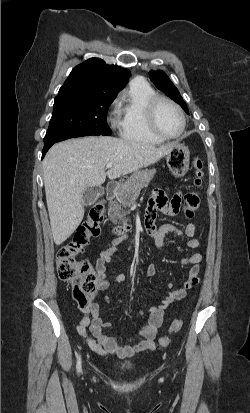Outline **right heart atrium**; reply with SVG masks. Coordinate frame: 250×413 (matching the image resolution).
I'll list each match as a JSON object with an SVG mask.
<instances>
[{"label": "right heart atrium", "instance_id": "right-heart-atrium-1", "mask_svg": "<svg viewBox=\"0 0 250 413\" xmlns=\"http://www.w3.org/2000/svg\"><path fill=\"white\" fill-rule=\"evenodd\" d=\"M116 104H117V102L114 101V102L112 103V105H111V108L114 109V108L116 107ZM108 121H109V123H110V125H111L112 127H114V126L116 125V118H115V112H114V111H112V112L109 113V115H108Z\"/></svg>", "mask_w": 250, "mask_h": 413}]
</instances>
